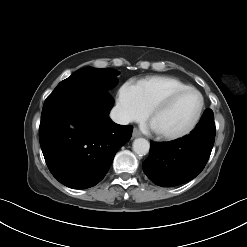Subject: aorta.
I'll return each mask as SVG.
<instances>
[{"mask_svg":"<svg viewBox=\"0 0 247 247\" xmlns=\"http://www.w3.org/2000/svg\"><path fill=\"white\" fill-rule=\"evenodd\" d=\"M149 142L144 138H137L133 142V151L138 155H146L149 152Z\"/></svg>","mask_w":247,"mask_h":247,"instance_id":"obj_1","label":"aorta"}]
</instances>
